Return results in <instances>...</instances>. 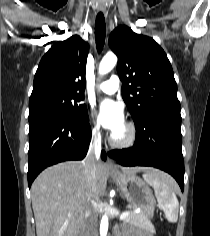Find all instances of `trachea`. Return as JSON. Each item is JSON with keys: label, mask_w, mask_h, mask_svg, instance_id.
<instances>
[{"label": "trachea", "mask_w": 210, "mask_h": 236, "mask_svg": "<svg viewBox=\"0 0 210 236\" xmlns=\"http://www.w3.org/2000/svg\"><path fill=\"white\" fill-rule=\"evenodd\" d=\"M106 35L105 18L102 12H99L95 22V39L97 50L100 53L103 49Z\"/></svg>", "instance_id": "trachea-1"}]
</instances>
